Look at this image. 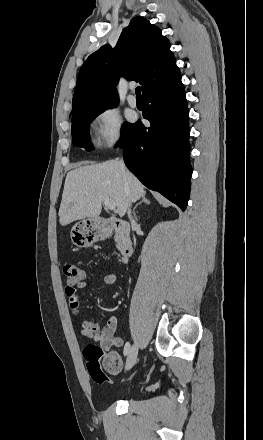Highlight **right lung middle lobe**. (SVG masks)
<instances>
[{
	"instance_id": "right-lung-middle-lobe-1",
	"label": "right lung middle lobe",
	"mask_w": 263,
	"mask_h": 440,
	"mask_svg": "<svg viewBox=\"0 0 263 440\" xmlns=\"http://www.w3.org/2000/svg\"><path fill=\"white\" fill-rule=\"evenodd\" d=\"M106 109L96 110L91 112H86L72 118V137L73 144L79 147H83L86 150H92L93 146L89 139V124L97 117L100 113ZM131 124L125 123L122 128V136L129 128Z\"/></svg>"
}]
</instances>
